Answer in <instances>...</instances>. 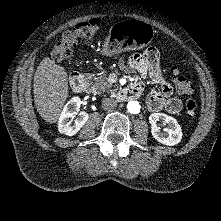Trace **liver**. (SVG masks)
Listing matches in <instances>:
<instances>
[{"label":"liver","instance_id":"6515ba94","mask_svg":"<svg viewBox=\"0 0 221 221\" xmlns=\"http://www.w3.org/2000/svg\"><path fill=\"white\" fill-rule=\"evenodd\" d=\"M34 103L41 118L56 123L68 98V75L64 67L44 58L34 74Z\"/></svg>","mask_w":221,"mask_h":221}]
</instances>
